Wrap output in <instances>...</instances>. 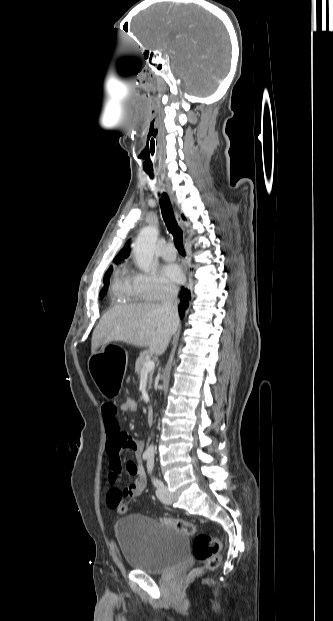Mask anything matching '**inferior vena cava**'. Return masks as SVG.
<instances>
[{"instance_id": "obj_1", "label": "inferior vena cava", "mask_w": 333, "mask_h": 621, "mask_svg": "<svg viewBox=\"0 0 333 621\" xmlns=\"http://www.w3.org/2000/svg\"><path fill=\"white\" fill-rule=\"evenodd\" d=\"M178 288H170L166 291L165 296L161 303L162 310L165 311L168 321L172 325L171 335L175 332L176 327L179 324L177 307L179 300L177 298Z\"/></svg>"}]
</instances>
